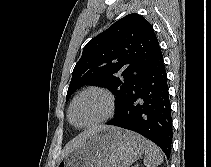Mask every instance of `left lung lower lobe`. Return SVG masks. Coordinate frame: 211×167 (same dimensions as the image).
Returning <instances> with one entry per match:
<instances>
[{
    "label": "left lung lower lobe",
    "instance_id": "0a47b994",
    "mask_svg": "<svg viewBox=\"0 0 211 167\" xmlns=\"http://www.w3.org/2000/svg\"><path fill=\"white\" fill-rule=\"evenodd\" d=\"M108 125L135 131L157 144L170 157L171 104L161 49L126 94L120 111Z\"/></svg>",
    "mask_w": 211,
    "mask_h": 167
}]
</instances>
